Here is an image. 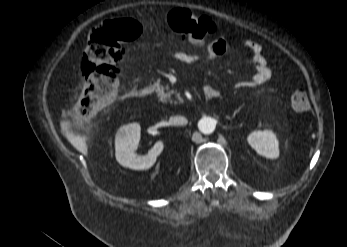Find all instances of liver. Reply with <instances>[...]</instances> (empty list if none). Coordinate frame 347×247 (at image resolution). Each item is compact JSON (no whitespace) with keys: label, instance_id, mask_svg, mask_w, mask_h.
<instances>
[{"label":"liver","instance_id":"6515ba94","mask_svg":"<svg viewBox=\"0 0 347 247\" xmlns=\"http://www.w3.org/2000/svg\"><path fill=\"white\" fill-rule=\"evenodd\" d=\"M66 125H67V122L65 123V129H67ZM74 140H75L77 148L82 153H87L86 137L76 136V137H74Z\"/></svg>","mask_w":347,"mask_h":247}]
</instances>
